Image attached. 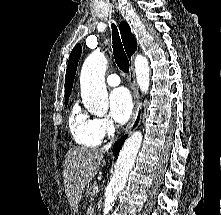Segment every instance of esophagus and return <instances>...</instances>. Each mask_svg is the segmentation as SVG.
<instances>
[{
	"mask_svg": "<svg viewBox=\"0 0 221 215\" xmlns=\"http://www.w3.org/2000/svg\"><path fill=\"white\" fill-rule=\"evenodd\" d=\"M129 82L131 85V89H132V93H133V97H134V103H135V108H134V112L132 115V118L127 126V130L133 125L137 114H138V110H139V92H138V88H137V84H136V80H135V71H134V66L133 64L130 65V70H129Z\"/></svg>",
	"mask_w": 221,
	"mask_h": 215,
	"instance_id": "obj_1",
	"label": "esophagus"
}]
</instances>
